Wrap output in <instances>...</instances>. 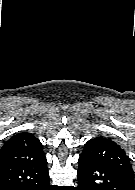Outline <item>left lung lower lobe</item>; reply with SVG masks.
Here are the masks:
<instances>
[{"label":"left lung lower lobe","mask_w":135,"mask_h":190,"mask_svg":"<svg viewBox=\"0 0 135 190\" xmlns=\"http://www.w3.org/2000/svg\"><path fill=\"white\" fill-rule=\"evenodd\" d=\"M78 163V190H135L112 167L98 160L80 156Z\"/></svg>","instance_id":"obj_1"}]
</instances>
